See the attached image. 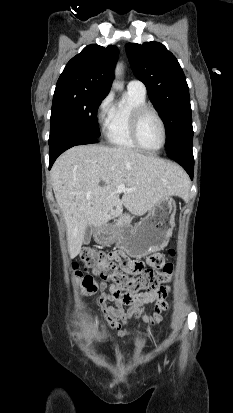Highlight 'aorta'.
Wrapping results in <instances>:
<instances>
[{
  "mask_svg": "<svg viewBox=\"0 0 233 413\" xmlns=\"http://www.w3.org/2000/svg\"><path fill=\"white\" fill-rule=\"evenodd\" d=\"M120 74V66H117L115 75L118 76ZM114 86L120 87V85L116 82L113 83Z\"/></svg>",
  "mask_w": 233,
  "mask_h": 413,
  "instance_id": "aorta-1",
  "label": "aorta"
}]
</instances>
